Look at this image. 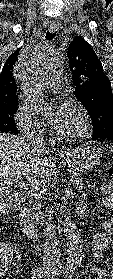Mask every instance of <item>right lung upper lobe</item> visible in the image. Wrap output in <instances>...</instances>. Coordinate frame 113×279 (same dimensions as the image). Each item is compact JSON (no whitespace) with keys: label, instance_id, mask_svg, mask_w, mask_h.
I'll list each match as a JSON object with an SVG mask.
<instances>
[{"label":"right lung upper lobe","instance_id":"right-lung-upper-lobe-1","mask_svg":"<svg viewBox=\"0 0 113 279\" xmlns=\"http://www.w3.org/2000/svg\"><path fill=\"white\" fill-rule=\"evenodd\" d=\"M20 49H17L7 59L0 73V109L18 104V96L16 95V83L12 74V70Z\"/></svg>","mask_w":113,"mask_h":279}]
</instances>
